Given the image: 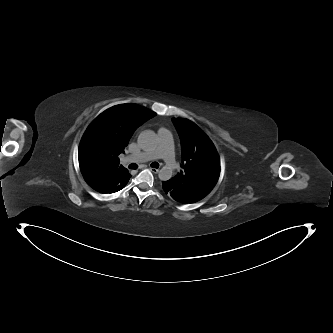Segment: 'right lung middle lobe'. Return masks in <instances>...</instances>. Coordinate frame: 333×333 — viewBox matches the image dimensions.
Returning a JSON list of instances; mask_svg holds the SVG:
<instances>
[{"instance_id":"dd1d6c3e","label":"right lung middle lobe","mask_w":333,"mask_h":333,"mask_svg":"<svg viewBox=\"0 0 333 333\" xmlns=\"http://www.w3.org/2000/svg\"><path fill=\"white\" fill-rule=\"evenodd\" d=\"M102 144L101 132L97 124L91 123L84 133L79 146V164L82 170L97 160V153Z\"/></svg>"}]
</instances>
